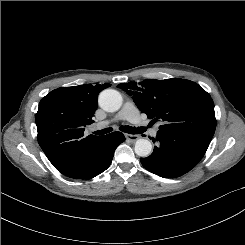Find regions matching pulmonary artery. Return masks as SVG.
<instances>
[{
  "instance_id": "pulmonary-artery-1",
  "label": "pulmonary artery",
  "mask_w": 245,
  "mask_h": 245,
  "mask_svg": "<svg viewBox=\"0 0 245 245\" xmlns=\"http://www.w3.org/2000/svg\"><path fill=\"white\" fill-rule=\"evenodd\" d=\"M119 120H128L134 124H141L143 123L137 109L131 102H126L122 108V110L114 117L112 121H119ZM111 121H102L97 123L94 127L97 129H101L108 125ZM159 130V126L156 125L152 130L151 133L156 135Z\"/></svg>"
}]
</instances>
